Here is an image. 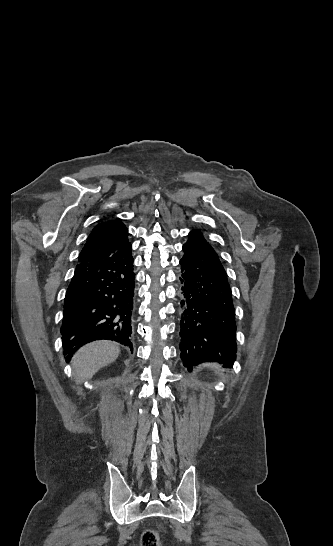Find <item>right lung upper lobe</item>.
<instances>
[{"label": "right lung upper lobe", "mask_w": 333, "mask_h": 546, "mask_svg": "<svg viewBox=\"0 0 333 546\" xmlns=\"http://www.w3.org/2000/svg\"><path fill=\"white\" fill-rule=\"evenodd\" d=\"M128 229L120 220L99 223L89 235L78 261L80 263L105 259L129 243Z\"/></svg>", "instance_id": "obj_1"}]
</instances>
